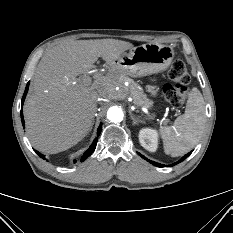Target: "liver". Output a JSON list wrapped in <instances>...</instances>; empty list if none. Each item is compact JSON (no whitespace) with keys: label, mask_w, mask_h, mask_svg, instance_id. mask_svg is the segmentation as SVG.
<instances>
[{"label":"liver","mask_w":233,"mask_h":233,"mask_svg":"<svg viewBox=\"0 0 233 233\" xmlns=\"http://www.w3.org/2000/svg\"><path fill=\"white\" fill-rule=\"evenodd\" d=\"M132 47L116 39L67 40L45 53L23 108L27 135L35 149L62 152L88 134L97 98L107 94L111 80L98 77L87 87L77 76L93 69L99 57L112 65Z\"/></svg>","instance_id":"liver-1"}]
</instances>
